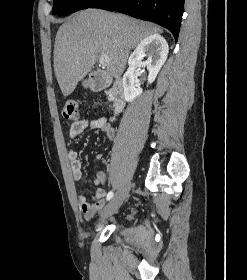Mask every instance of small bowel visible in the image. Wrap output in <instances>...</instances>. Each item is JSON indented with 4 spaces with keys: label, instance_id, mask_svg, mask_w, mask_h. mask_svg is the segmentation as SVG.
<instances>
[{
    "label": "small bowel",
    "instance_id": "c3829d8e",
    "mask_svg": "<svg viewBox=\"0 0 247 280\" xmlns=\"http://www.w3.org/2000/svg\"><path fill=\"white\" fill-rule=\"evenodd\" d=\"M88 127L92 129L102 130L109 140L115 139L116 129L113 123L108 121L107 118L105 117L96 116L91 119L85 118V119L77 120L71 124L69 129V144L73 146L76 137L80 135ZM95 158L97 160H101L102 154L97 153L95 155ZM68 159L72 170L73 178L76 181L81 180L82 163L78 156V153L75 150L70 149L68 151ZM93 182L96 186L104 185L106 182L105 172L102 170L97 171ZM104 194L105 192L102 188L100 187L97 188L92 198V202H89L86 196L82 194L78 195L77 197L78 205L86 219H91L98 211L103 209V207L105 206Z\"/></svg>",
    "mask_w": 247,
    "mask_h": 280
}]
</instances>
